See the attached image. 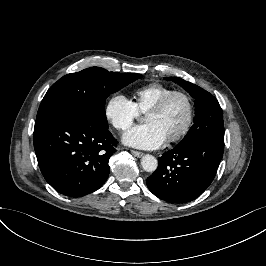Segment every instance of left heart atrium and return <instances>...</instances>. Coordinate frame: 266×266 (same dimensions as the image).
Instances as JSON below:
<instances>
[{"label":"left heart atrium","instance_id":"39dd6f15","mask_svg":"<svg viewBox=\"0 0 266 266\" xmlns=\"http://www.w3.org/2000/svg\"><path fill=\"white\" fill-rule=\"evenodd\" d=\"M123 141L141 149H154L161 146L166 137L154 123H145L135 126L123 135Z\"/></svg>","mask_w":266,"mask_h":266}]
</instances>
